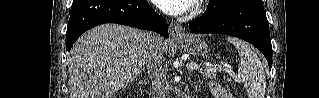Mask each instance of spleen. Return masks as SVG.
<instances>
[{
	"mask_svg": "<svg viewBox=\"0 0 319 98\" xmlns=\"http://www.w3.org/2000/svg\"><path fill=\"white\" fill-rule=\"evenodd\" d=\"M234 45L240 56L238 78L244 82L249 98H264L266 76L258 56L247 43L237 38H227Z\"/></svg>",
	"mask_w": 319,
	"mask_h": 98,
	"instance_id": "1",
	"label": "spleen"
}]
</instances>
